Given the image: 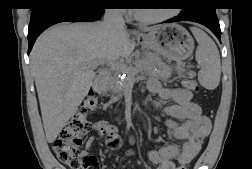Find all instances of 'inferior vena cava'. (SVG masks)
Returning a JSON list of instances; mask_svg holds the SVG:
<instances>
[{
  "instance_id": "obj_1",
  "label": "inferior vena cava",
  "mask_w": 252,
  "mask_h": 169,
  "mask_svg": "<svg viewBox=\"0 0 252 169\" xmlns=\"http://www.w3.org/2000/svg\"><path fill=\"white\" fill-rule=\"evenodd\" d=\"M103 24L109 31L126 29L121 9H106Z\"/></svg>"
}]
</instances>
